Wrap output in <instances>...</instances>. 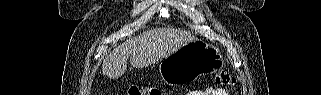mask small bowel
Listing matches in <instances>:
<instances>
[{"mask_svg": "<svg viewBox=\"0 0 321 95\" xmlns=\"http://www.w3.org/2000/svg\"><path fill=\"white\" fill-rule=\"evenodd\" d=\"M227 93L221 89L209 88L204 92H192L189 95H226Z\"/></svg>", "mask_w": 321, "mask_h": 95, "instance_id": "1", "label": "small bowel"}]
</instances>
